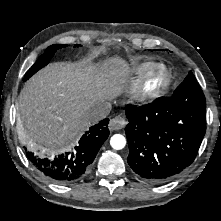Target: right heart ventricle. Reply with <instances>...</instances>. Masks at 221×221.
I'll list each match as a JSON object with an SVG mask.
<instances>
[{
  "instance_id": "right-heart-ventricle-1",
  "label": "right heart ventricle",
  "mask_w": 221,
  "mask_h": 221,
  "mask_svg": "<svg viewBox=\"0 0 221 221\" xmlns=\"http://www.w3.org/2000/svg\"><path fill=\"white\" fill-rule=\"evenodd\" d=\"M155 63L151 61L142 62L134 67V72L140 76L146 73Z\"/></svg>"
}]
</instances>
